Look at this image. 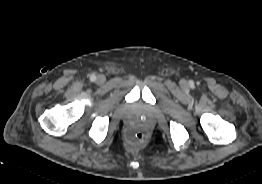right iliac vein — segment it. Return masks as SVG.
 Segmentation results:
<instances>
[{"label":"right iliac vein","mask_w":262,"mask_h":184,"mask_svg":"<svg viewBox=\"0 0 262 184\" xmlns=\"http://www.w3.org/2000/svg\"><path fill=\"white\" fill-rule=\"evenodd\" d=\"M105 81V77L103 76V75H99L98 77H97V82L98 83H103Z\"/></svg>","instance_id":"obj_1"}]
</instances>
